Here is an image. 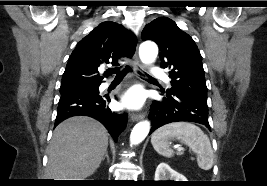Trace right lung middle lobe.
<instances>
[{
	"instance_id": "right-lung-middle-lobe-1",
	"label": "right lung middle lobe",
	"mask_w": 267,
	"mask_h": 186,
	"mask_svg": "<svg viewBox=\"0 0 267 186\" xmlns=\"http://www.w3.org/2000/svg\"><path fill=\"white\" fill-rule=\"evenodd\" d=\"M100 84H71V85H61L60 87V93L74 89V88H85V89H90V90H95L97 91L99 88Z\"/></svg>"
}]
</instances>
